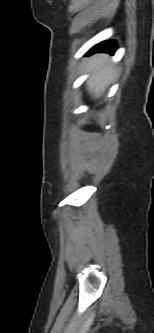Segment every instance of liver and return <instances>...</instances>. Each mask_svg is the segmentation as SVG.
<instances>
[{"instance_id": "liver-1", "label": "liver", "mask_w": 154, "mask_h": 333, "mask_svg": "<svg viewBox=\"0 0 154 333\" xmlns=\"http://www.w3.org/2000/svg\"><path fill=\"white\" fill-rule=\"evenodd\" d=\"M86 71L92 72L87 81L88 92L94 98H100L113 81L116 70L108 64L107 55L99 54L88 60Z\"/></svg>"}]
</instances>
